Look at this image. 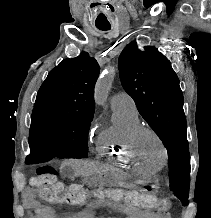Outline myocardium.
Wrapping results in <instances>:
<instances>
[{
  "instance_id": "obj_1",
  "label": "myocardium",
  "mask_w": 211,
  "mask_h": 218,
  "mask_svg": "<svg viewBox=\"0 0 211 218\" xmlns=\"http://www.w3.org/2000/svg\"><path fill=\"white\" fill-rule=\"evenodd\" d=\"M143 133H149L157 140L158 144L160 145L161 153H162V161L160 163V166H163L167 160V150L165 144L162 138L160 137V135L153 128L149 126H145L141 124L131 132L130 143L132 148V153H131L132 157L139 158L137 153V148H138L140 136Z\"/></svg>"
}]
</instances>
